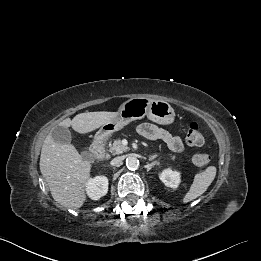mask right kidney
Instances as JSON below:
<instances>
[{"label":"right kidney","instance_id":"ca27d5eb","mask_svg":"<svg viewBox=\"0 0 261 261\" xmlns=\"http://www.w3.org/2000/svg\"><path fill=\"white\" fill-rule=\"evenodd\" d=\"M108 191V179L105 176H96L86 183V192L92 200H99Z\"/></svg>","mask_w":261,"mask_h":261}]
</instances>
